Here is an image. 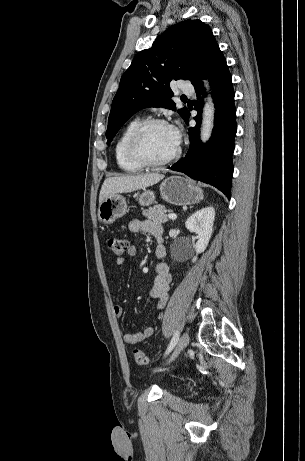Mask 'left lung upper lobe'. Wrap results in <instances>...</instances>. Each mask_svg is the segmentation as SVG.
<instances>
[{"label":"left lung upper lobe","instance_id":"5c2ea615","mask_svg":"<svg viewBox=\"0 0 305 461\" xmlns=\"http://www.w3.org/2000/svg\"><path fill=\"white\" fill-rule=\"evenodd\" d=\"M220 49L211 29L200 20H185L167 29L152 47L139 52L120 80L108 120V142L137 111L146 107L175 109L172 80L194 85L210 68ZM184 119L187 108L178 110Z\"/></svg>","mask_w":305,"mask_h":461}]
</instances>
